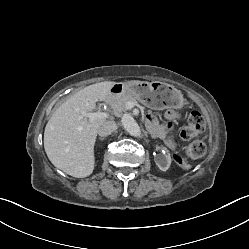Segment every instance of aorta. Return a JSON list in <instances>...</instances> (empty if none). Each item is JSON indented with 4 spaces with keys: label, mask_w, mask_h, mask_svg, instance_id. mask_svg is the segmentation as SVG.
<instances>
[{
    "label": "aorta",
    "mask_w": 249,
    "mask_h": 249,
    "mask_svg": "<svg viewBox=\"0 0 249 249\" xmlns=\"http://www.w3.org/2000/svg\"><path fill=\"white\" fill-rule=\"evenodd\" d=\"M122 123L126 131L132 136H140L141 130L136 121L130 116L125 115L122 118Z\"/></svg>",
    "instance_id": "1"
}]
</instances>
